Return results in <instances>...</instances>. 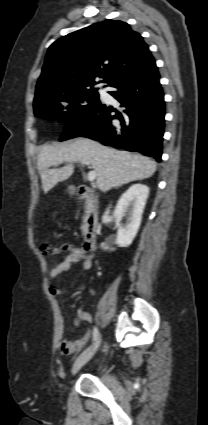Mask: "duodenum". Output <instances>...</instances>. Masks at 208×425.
<instances>
[{"mask_svg":"<svg viewBox=\"0 0 208 425\" xmlns=\"http://www.w3.org/2000/svg\"><path fill=\"white\" fill-rule=\"evenodd\" d=\"M76 192L84 203V227L82 247L86 251H92L96 247L98 231V202L95 194L85 185H79Z\"/></svg>","mask_w":208,"mask_h":425,"instance_id":"410a0bca","label":"duodenum"}]
</instances>
